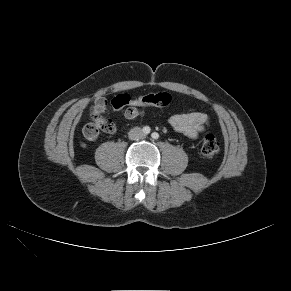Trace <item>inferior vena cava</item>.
<instances>
[{
	"mask_svg": "<svg viewBox=\"0 0 291 291\" xmlns=\"http://www.w3.org/2000/svg\"><path fill=\"white\" fill-rule=\"evenodd\" d=\"M128 135L131 140H139L145 137V134L139 127H134L133 129H131Z\"/></svg>",
	"mask_w": 291,
	"mask_h": 291,
	"instance_id": "1",
	"label": "inferior vena cava"
}]
</instances>
